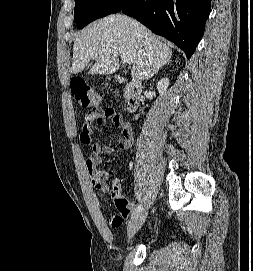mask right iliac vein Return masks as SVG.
<instances>
[{
  "mask_svg": "<svg viewBox=\"0 0 253 271\" xmlns=\"http://www.w3.org/2000/svg\"><path fill=\"white\" fill-rule=\"evenodd\" d=\"M147 217V210L142 208L141 211L129 222L128 236L132 237L141 228Z\"/></svg>",
  "mask_w": 253,
  "mask_h": 271,
  "instance_id": "right-iliac-vein-1",
  "label": "right iliac vein"
}]
</instances>
